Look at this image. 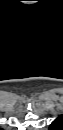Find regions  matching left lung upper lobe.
<instances>
[{
    "label": "left lung upper lobe",
    "mask_w": 63,
    "mask_h": 130,
    "mask_svg": "<svg viewBox=\"0 0 63 130\" xmlns=\"http://www.w3.org/2000/svg\"><path fill=\"white\" fill-rule=\"evenodd\" d=\"M62 123H63L62 117L60 116L51 123L49 129L50 130H60V129H62Z\"/></svg>",
    "instance_id": "1"
}]
</instances>
